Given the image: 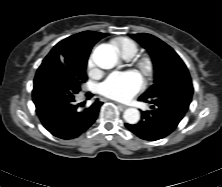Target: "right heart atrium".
I'll use <instances>...</instances> for the list:
<instances>
[{
	"instance_id": "d8ad5b80",
	"label": "right heart atrium",
	"mask_w": 222,
	"mask_h": 187,
	"mask_svg": "<svg viewBox=\"0 0 222 187\" xmlns=\"http://www.w3.org/2000/svg\"><path fill=\"white\" fill-rule=\"evenodd\" d=\"M94 60H93V58L92 57H90L89 58V61H88V67L90 68V69H92L93 67H94Z\"/></svg>"
}]
</instances>
